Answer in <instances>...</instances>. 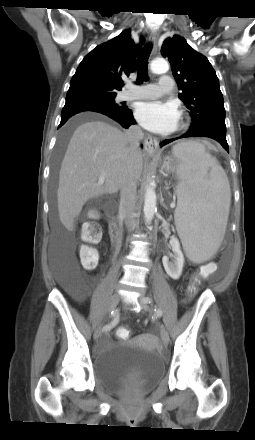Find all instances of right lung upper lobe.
<instances>
[{
    "label": "right lung upper lobe",
    "mask_w": 255,
    "mask_h": 440,
    "mask_svg": "<svg viewBox=\"0 0 255 440\" xmlns=\"http://www.w3.org/2000/svg\"><path fill=\"white\" fill-rule=\"evenodd\" d=\"M140 51L141 43H134L130 30L94 48L73 75L66 101L85 99L91 94H116L123 86L121 76L135 71Z\"/></svg>",
    "instance_id": "obj_1"
}]
</instances>
